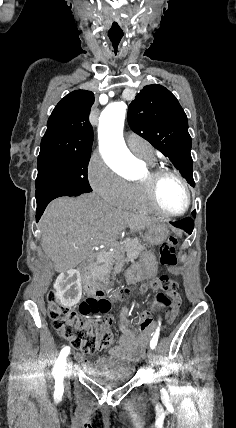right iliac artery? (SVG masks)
Segmentation results:
<instances>
[{
	"mask_svg": "<svg viewBox=\"0 0 236 428\" xmlns=\"http://www.w3.org/2000/svg\"><path fill=\"white\" fill-rule=\"evenodd\" d=\"M70 353V347L65 346L60 354L58 359L55 361V365L53 367V373L54 374H64L65 373V366H66V357Z\"/></svg>",
	"mask_w": 236,
	"mask_h": 428,
	"instance_id": "right-iliac-artery-1",
	"label": "right iliac artery"
}]
</instances>
